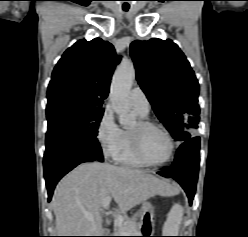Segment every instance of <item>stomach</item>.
Here are the masks:
<instances>
[{
    "mask_svg": "<svg viewBox=\"0 0 248 237\" xmlns=\"http://www.w3.org/2000/svg\"><path fill=\"white\" fill-rule=\"evenodd\" d=\"M146 214H149L150 216H153L154 214V207L150 202H144L142 204L140 215L144 218Z\"/></svg>",
    "mask_w": 248,
    "mask_h": 237,
    "instance_id": "0dacf381",
    "label": "stomach"
}]
</instances>
